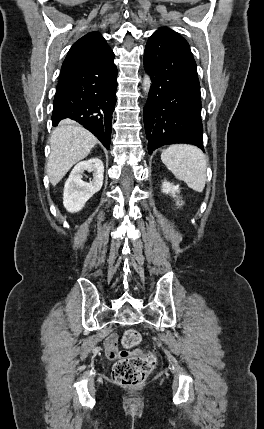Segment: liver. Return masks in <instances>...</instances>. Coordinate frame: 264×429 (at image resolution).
<instances>
[{
  "label": "liver",
  "instance_id": "liver-1",
  "mask_svg": "<svg viewBox=\"0 0 264 429\" xmlns=\"http://www.w3.org/2000/svg\"><path fill=\"white\" fill-rule=\"evenodd\" d=\"M97 142L82 126L70 120L62 121L50 138L51 153L46 166L50 183L57 185L74 164L88 156Z\"/></svg>",
  "mask_w": 264,
  "mask_h": 429
}]
</instances>
